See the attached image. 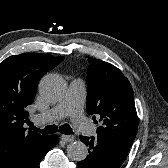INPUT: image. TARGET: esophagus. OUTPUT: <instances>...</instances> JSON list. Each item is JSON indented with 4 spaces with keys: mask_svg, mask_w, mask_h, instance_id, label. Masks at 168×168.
Segmentation results:
<instances>
[{
    "mask_svg": "<svg viewBox=\"0 0 168 168\" xmlns=\"http://www.w3.org/2000/svg\"><path fill=\"white\" fill-rule=\"evenodd\" d=\"M61 139L65 142H72L75 140L74 135H61Z\"/></svg>",
    "mask_w": 168,
    "mask_h": 168,
    "instance_id": "esophagus-1",
    "label": "esophagus"
}]
</instances>
